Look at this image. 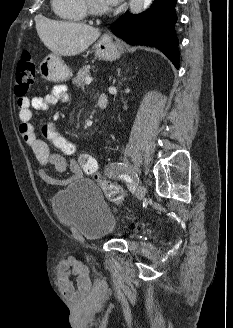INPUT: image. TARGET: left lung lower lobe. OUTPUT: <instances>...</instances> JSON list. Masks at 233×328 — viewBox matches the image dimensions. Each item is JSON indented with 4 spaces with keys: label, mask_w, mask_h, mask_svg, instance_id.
Masks as SVG:
<instances>
[{
    "label": "left lung lower lobe",
    "mask_w": 233,
    "mask_h": 328,
    "mask_svg": "<svg viewBox=\"0 0 233 328\" xmlns=\"http://www.w3.org/2000/svg\"><path fill=\"white\" fill-rule=\"evenodd\" d=\"M175 4L176 0H154L152 7L142 14L126 12L113 23L111 30L128 43L158 48L178 69Z\"/></svg>",
    "instance_id": "0a47b994"
}]
</instances>
